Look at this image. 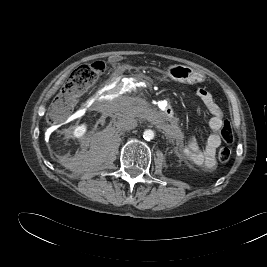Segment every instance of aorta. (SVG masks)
Wrapping results in <instances>:
<instances>
[{
	"mask_svg": "<svg viewBox=\"0 0 267 267\" xmlns=\"http://www.w3.org/2000/svg\"><path fill=\"white\" fill-rule=\"evenodd\" d=\"M143 138L147 141H150L154 138V131L147 129L143 133Z\"/></svg>",
	"mask_w": 267,
	"mask_h": 267,
	"instance_id": "1",
	"label": "aorta"
}]
</instances>
